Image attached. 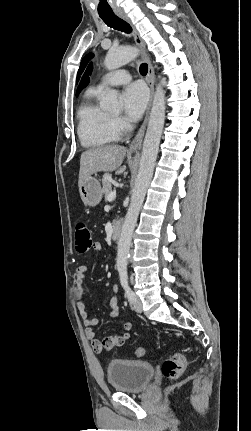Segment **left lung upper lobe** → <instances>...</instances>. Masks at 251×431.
I'll return each mask as SVG.
<instances>
[{
    "instance_id": "5c2ea615",
    "label": "left lung upper lobe",
    "mask_w": 251,
    "mask_h": 431,
    "mask_svg": "<svg viewBox=\"0 0 251 431\" xmlns=\"http://www.w3.org/2000/svg\"><path fill=\"white\" fill-rule=\"evenodd\" d=\"M92 57H93V54H92V53H89V54H87V55L83 58V60L81 61L80 68H79V70H78L77 81L79 80L80 75L82 74V72H83V70H84V68H85L86 64L88 63V61H89Z\"/></svg>"
}]
</instances>
